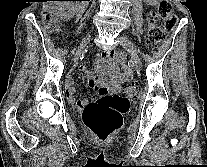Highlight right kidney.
<instances>
[{
    "instance_id": "1",
    "label": "right kidney",
    "mask_w": 207,
    "mask_h": 167,
    "mask_svg": "<svg viewBox=\"0 0 207 167\" xmlns=\"http://www.w3.org/2000/svg\"><path fill=\"white\" fill-rule=\"evenodd\" d=\"M55 10L62 20H70L75 13V7L71 6V2L55 1Z\"/></svg>"
}]
</instances>
